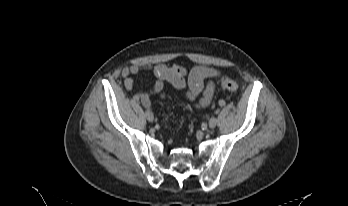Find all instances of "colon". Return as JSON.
I'll use <instances>...</instances> for the list:
<instances>
[{"instance_id": "obj_1", "label": "colon", "mask_w": 348, "mask_h": 206, "mask_svg": "<svg viewBox=\"0 0 348 206\" xmlns=\"http://www.w3.org/2000/svg\"><path fill=\"white\" fill-rule=\"evenodd\" d=\"M221 87L229 92H236L238 90L237 82L229 76H224L221 80Z\"/></svg>"}]
</instances>
